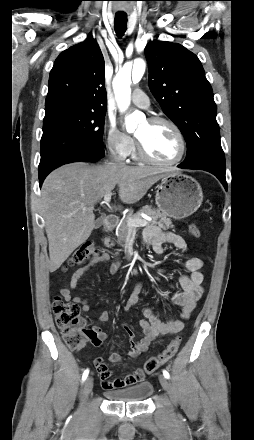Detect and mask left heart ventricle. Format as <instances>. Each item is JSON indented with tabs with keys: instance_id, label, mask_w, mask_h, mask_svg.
<instances>
[{
	"instance_id": "b2bd125f",
	"label": "left heart ventricle",
	"mask_w": 254,
	"mask_h": 440,
	"mask_svg": "<svg viewBox=\"0 0 254 440\" xmlns=\"http://www.w3.org/2000/svg\"><path fill=\"white\" fill-rule=\"evenodd\" d=\"M147 152L155 159L168 162L180 152V142L175 131L166 124L143 122L135 132Z\"/></svg>"
}]
</instances>
